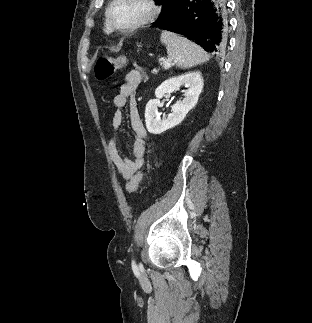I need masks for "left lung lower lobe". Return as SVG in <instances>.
<instances>
[{
  "label": "left lung lower lobe",
  "instance_id": "0a47b994",
  "mask_svg": "<svg viewBox=\"0 0 312 323\" xmlns=\"http://www.w3.org/2000/svg\"><path fill=\"white\" fill-rule=\"evenodd\" d=\"M224 0H178L160 29L183 35L214 56L228 47L229 24Z\"/></svg>",
  "mask_w": 312,
  "mask_h": 323
}]
</instances>
